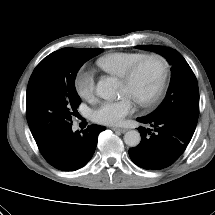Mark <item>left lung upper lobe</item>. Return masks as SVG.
Instances as JSON below:
<instances>
[{"mask_svg":"<svg viewBox=\"0 0 215 215\" xmlns=\"http://www.w3.org/2000/svg\"><path fill=\"white\" fill-rule=\"evenodd\" d=\"M136 48L157 52L172 65V77L166 97L159 107L147 116H172L196 127L199 116L198 83L183 56L178 51L164 46L141 45Z\"/></svg>","mask_w":215,"mask_h":215,"instance_id":"left-lung-upper-lobe-1","label":"left lung upper lobe"}]
</instances>
